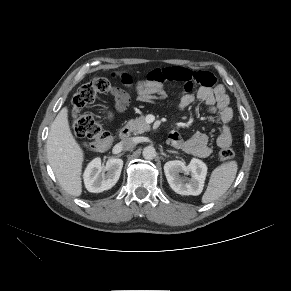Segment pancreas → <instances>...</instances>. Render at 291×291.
Returning a JSON list of instances; mask_svg holds the SVG:
<instances>
[{"mask_svg":"<svg viewBox=\"0 0 291 291\" xmlns=\"http://www.w3.org/2000/svg\"><path fill=\"white\" fill-rule=\"evenodd\" d=\"M126 126L135 134H142L150 130V125L145 121L143 116L128 121Z\"/></svg>","mask_w":291,"mask_h":291,"instance_id":"cf45deb5","label":"pancreas"}]
</instances>
